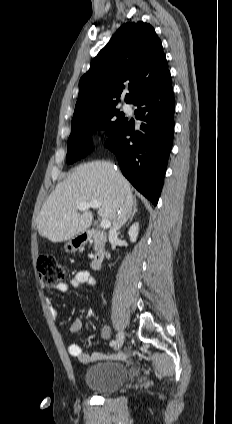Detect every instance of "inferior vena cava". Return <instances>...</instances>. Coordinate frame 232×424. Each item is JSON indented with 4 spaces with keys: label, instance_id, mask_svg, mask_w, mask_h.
Instances as JSON below:
<instances>
[{
    "label": "inferior vena cava",
    "instance_id": "obj_1",
    "mask_svg": "<svg viewBox=\"0 0 232 424\" xmlns=\"http://www.w3.org/2000/svg\"><path fill=\"white\" fill-rule=\"evenodd\" d=\"M133 199L131 195L126 197L124 205L120 208L116 218L113 220V226L110 229V234H116L123 224L131 215Z\"/></svg>",
    "mask_w": 232,
    "mask_h": 424
}]
</instances>
